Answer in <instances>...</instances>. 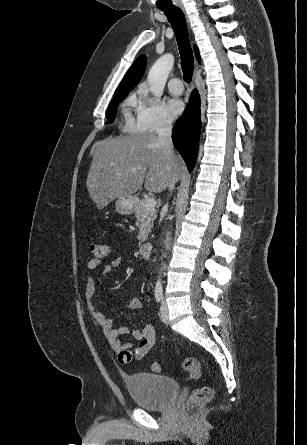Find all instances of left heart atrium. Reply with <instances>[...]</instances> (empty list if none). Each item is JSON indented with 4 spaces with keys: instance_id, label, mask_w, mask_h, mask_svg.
I'll return each mask as SVG.
<instances>
[{
    "instance_id": "1",
    "label": "left heart atrium",
    "mask_w": 307,
    "mask_h": 445,
    "mask_svg": "<svg viewBox=\"0 0 307 445\" xmlns=\"http://www.w3.org/2000/svg\"><path fill=\"white\" fill-rule=\"evenodd\" d=\"M168 111L174 117L182 114L184 110V103L181 98L171 97L166 102Z\"/></svg>"
}]
</instances>
